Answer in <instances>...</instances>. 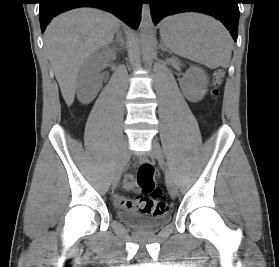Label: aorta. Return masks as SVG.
<instances>
[{"label": "aorta", "mask_w": 279, "mask_h": 267, "mask_svg": "<svg viewBox=\"0 0 279 267\" xmlns=\"http://www.w3.org/2000/svg\"><path fill=\"white\" fill-rule=\"evenodd\" d=\"M140 37L144 60L149 65L154 51V37L150 6L147 3H144L141 9Z\"/></svg>", "instance_id": "aorta-1"}]
</instances>
